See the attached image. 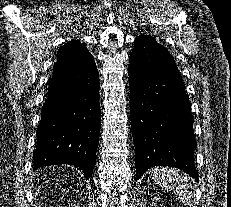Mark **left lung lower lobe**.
<instances>
[{
    "label": "left lung lower lobe",
    "mask_w": 231,
    "mask_h": 207,
    "mask_svg": "<svg viewBox=\"0 0 231 207\" xmlns=\"http://www.w3.org/2000/svg\"><path fill=\"white\" fill-rule=\"evenodd\" d=\"M134 42L129 85L136 178L151 167L170 166L198 180L190 101L174 58L153 37Z\"/></svg>",
    "instance_id": "obj_1"
}]
</instances>
